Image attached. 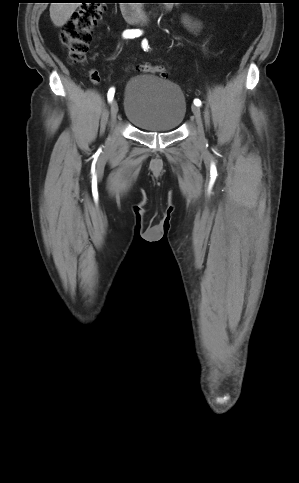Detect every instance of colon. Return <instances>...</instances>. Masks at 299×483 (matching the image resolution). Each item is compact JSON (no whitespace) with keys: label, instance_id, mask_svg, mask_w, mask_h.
Masks as SVG:
<instances>
[{"label":"colon","instance_id":"colon-1","mask_svg":"<svg viewBox=\"0 0 299 483\" xmlns=\"http://www.w3.org/2000/svg\"><path fill=\"white\" fill-rule=\"evenodd\" d=\"M104 0H93L77 9L64 25L60 39L69 53L73 65L84 62L92 40V31L105 10ZM143 72L168 77V71L159 65L143 63L138 66Z\"/></svg>","mask_w":299,"mask_h":483}]
</instances>
